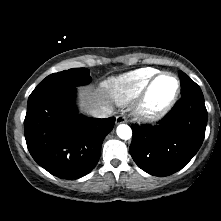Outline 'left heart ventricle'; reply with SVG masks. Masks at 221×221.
<instances>
[{
  "instance_id": "1",
  "label": "left heart ventricle",
  "mask_w": 221,
  "mask_h": 221,
  "mask_svg": "<svg viewBox=\"0 0 221 221\" xmlns=\"http://www.w3.org/2000/svg\"><path fill=\"white\" fill-rule=\"evenodd\" d=\"M176 89L175 80L170 76H163L153 86L150 103L153 107L163 105L173 95Z\"/></svg>"
}]
</instances>
